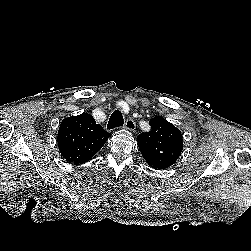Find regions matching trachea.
I'll list each match as a JSON object with an SVG mask.
<instances>
[{"mask_svg":"<svg viewBox=\"0 0 251 251\" xmlns=\"http://www.w3.org/2000/svg\"><path fill=\"white\" fill-rule=\"evenodd\" d=\"M123 125V116L120 110H115L109 119L107 128L114 129Z\"/></svg>","mask_w":251,"mask_h":251,"instance_id":"obj_1","label":"trachea"}]
</instances>
